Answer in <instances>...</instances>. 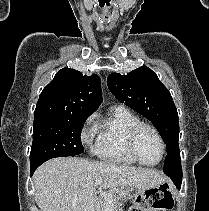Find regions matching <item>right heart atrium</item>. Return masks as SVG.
I'll use <instances>...</instances> for the list:
<instances>
[{"instance_id":"d8ad5b80","label":"right heart atrium","mask_w":209,"mask_h":211,"mask_svg":"<svg viewBox=\"0 0 209 211\" xmlns=\"http://www.w3.org/2000/svg\"><path fill=\"white\" fill-rule=\"evenodd\" d=\"M97 134L96 116L94 114L87 117L80 132V138L84 145H89L93 142Z\"/></svg>"}]
</instances>
